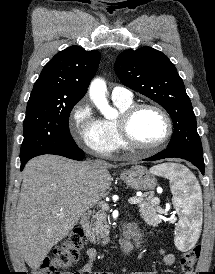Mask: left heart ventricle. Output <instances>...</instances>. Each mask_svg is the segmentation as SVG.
Masks as SVG:
<instances>
[{"label":"left heart ventricle","mask_w":215,"mask_h":274,"mask_svg":"<svg viewBox=\"0 0 215 274\" xmlns=\"http://www.w3.org/2000/svg\"><path fill=\"white\" fill-rule=\"evenodd\" d=\"M130 131L138 143L149 145L163 138L166 133V124L158 112L144 109L133 118Z\"/></svg>","instance_id":"1"}]
</instances>
